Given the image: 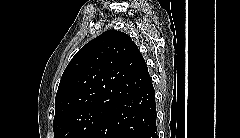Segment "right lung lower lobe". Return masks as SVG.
<instances>
[{"label":"right lung lower lobe","mask_w":240,"mask_h":138,"mask_svg":"<svg viewBox=\"0 0 240 138\" xmlns=\"http://www.w3.org/2000/svg\"><path fill=\"white\" fill-rule=\"evenodd\" d=\"M154 87L140 92L107 110L87 138H157Z\"/></svg>","instance_id":"obj_1"}]
</instances>
